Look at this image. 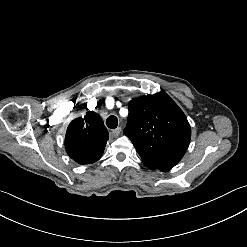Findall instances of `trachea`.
Returning a JSON list of instances; mask_svg holds the SVG:
<instances>
[{
	"instance_id": "obj_1",
	"label": "trachea",
	"mask_w": 247,
	"mask_h": 247,
	"mask_svg": "<svg viewBox=\"0 0 247 247\" xmlns=\"http://www.w3.org/2000/svg\"><path fill=\"white\" fill-rule=\"evenodd\" d=\"M106 124L109 128L115 129L118 125V119L115 116H110L106 120Z\"/></svg>"
}]
</instances>
